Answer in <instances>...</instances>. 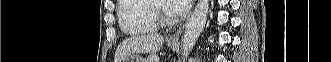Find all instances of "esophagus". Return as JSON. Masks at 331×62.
<instances>
[{"label":"esophagus","mask_w":331,"mask_h":62,"mask_svg":"<svg viewBox=\"0 0 331 62\" xmlns=\"http://www.w3.org/2000/svg\"><path fill=\"white\" fill-rule=\"evenodd\" d=\"M183 29H184V25L181 28H179L174 34L170 35L167 38V40L168 41H171V42H177L178 39H179V37H180V35H181V33H182V31H183Z\"/></svg>","instance_id":"obj_1"}]
</instances>
